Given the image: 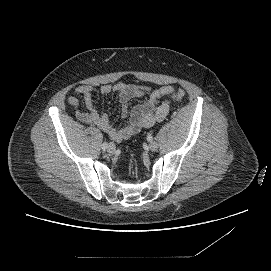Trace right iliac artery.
Wrapping results in <instances>:
<instances>
[{
	"mask_svg": "<svg viewBox=\"0 0 271 271\" xmlns=\"http://www.w3.org/2000/svg\"><path fill=\"white\" fill-rule=\"evenodd\" d=\"M107 147H108V143L107 142L103 143L102 146H101V148L103 150H105Z\"/></svg>",
	"mask_w": 271,
	"mask_h": 271,
	"instance_id": "obj_1",
	"label": "right iliac artery"
}]
</instances>
